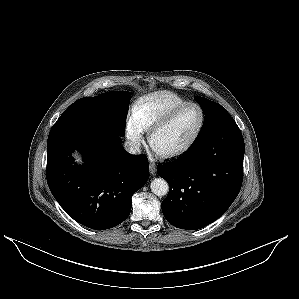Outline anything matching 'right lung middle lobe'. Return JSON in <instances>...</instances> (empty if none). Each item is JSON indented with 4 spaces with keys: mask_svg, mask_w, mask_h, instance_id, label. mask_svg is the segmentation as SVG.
<instances>
[{
    "mask_svg": "<svg viewBox=\"0 0 299 299\" xmlns=\"http://www.w3.org/2000/svg\"><path fill=\"white\" fill-rule=\"evenodd\" d=\"M130 94L126 91H113L96 97L81 98L70 105L58 121L95 125L123 137Z\"/></svg>",
    "mask_w": 299,
    "mask_h": 299,
    "instance_id": "1",
    "label": "right lung middle lobe"
}]
</instances>
